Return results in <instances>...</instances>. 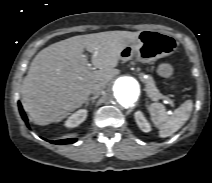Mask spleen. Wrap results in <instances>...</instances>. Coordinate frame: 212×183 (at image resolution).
Returning <instances> with one entry per match:
<instances>
[{"mask_svg":"<svg viewBox=\"0 0 212 183\" xmlns=\"http://www.w3.org/2000/svg\"><path fill=\"white\" fill-rule=\"evenodd\" d=\"M192 108V101L187 100L168 116L164 105L152 103L149 112L153 124L159 129V136L165 138L178 131L189 119Z\"/></svg>","mask_w":212,"mask_h":183,"instance_id":"spleen-1","label":"spleen"}]
</instances>
